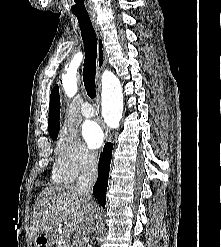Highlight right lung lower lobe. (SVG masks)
I'll use <instances>...</instances> for the list:
<instances>
[{
    "label": "right lung lower lobe",
    "instance_id": "obj_1",
    "mask_svg": "<svg viewBox=\"0 0 221 247\" xmlns=\"http://www.w3.org/2000/svg\"><path fill=\"white\" fill-rule=\"evenodd\" d=\"M112 149L113 145L111 143L105 144L103 152L99 158L98 179L93 187V194L103 208H105L106 203V190L108 185Z\"/></svg>",
    "mask_w": 221,
    "mask_h": 247
}]
</instances>
